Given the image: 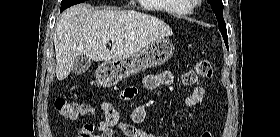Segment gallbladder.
Segmentation results:
<instances>
[{"instance_id":"gallbladder-1","label":"gallbladder","mask_w":280,"mask_h":137,"mask_svg":"<svg viewBox=\"0 0 280 137\" xmlns=\"http://www.w3.org/2000/svg\"><path fill=\"white\" fill-rule=\"evenodd\" d=\"M90 66L91 59L84 55H79L73 62L72 72L76 75H82L90 68Z\"/></svg>"}]
</instances>
